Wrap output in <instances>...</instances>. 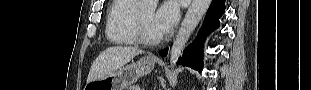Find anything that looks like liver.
<instances>
[{"label": "liver", "instance_id": "6515ba94", "mask_svg": "<svg viewBox=\"0 0 311 90\" xmlns=\"http://www.w3.org/2000/svg\"><path fill=\"white\" fill-rule=\"evenodd\" d=\"M144 53L132 46H113L104 50L93 62L87 83L100 80L108 74L117 71L130 62L135 56Z\"/></svg>", "mask_w": 311, "mask_h": 90}]
</instances>
